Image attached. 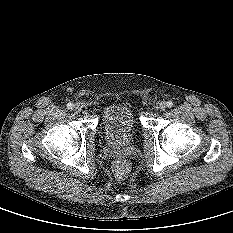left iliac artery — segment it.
<instances>
[{
  "label": "left iliac artery",
  "mask_w": 233,
  "mask_h": 233,
  "mask_svg": "<svg viewBox=\"0 0 233 233\" xmlns=\"http://www.w3.org/2000/svg\"><path fill=\"white\" fill-rule=\"evenodd\" d=\"M167 107L168 108H172L173 107V102L172 101H168L167 102Z\"/></svg>",
  "instance_id": "44dca946"
}]
</instances>
